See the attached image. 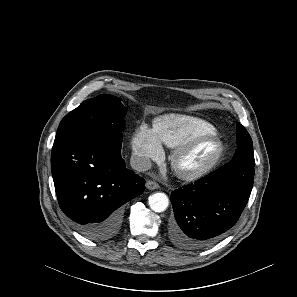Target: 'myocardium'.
Segmentation results:
<instances>
[{
	"label": "myocardium",
	"instance_id": "1",
	"mask_svg": "<svg viewBox=\"0 0 297 297\" xmlns=\"http://www.w3.org/2000/svg\"><path fill=\"white\" fill-rule=\"evenodd\" d=\"M206 140H210L215 144L214 151L207 161L194 168H187L183 166V159L201 142ZM223 151V141L216 132L198 134L175 148L171 156V165L176 175L181 179L195 180L202 177L216 166L222 157Z\"/></svg>",
	"mask_w": 297,
	"mask_h": 297
}]
</instances>
